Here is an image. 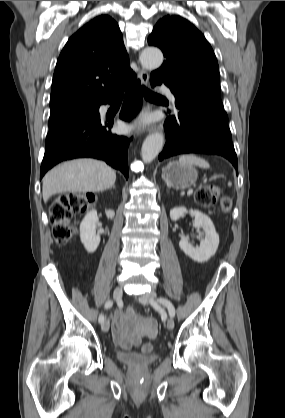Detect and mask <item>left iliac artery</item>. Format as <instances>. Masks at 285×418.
<instances>
[{
    "label": "left iliac artery",
    "instance_id": "obj_1",
    "mask_svg": "<svg viewBox=\"0 0 285 418\" xmlns=\"http://www.w3.org/2000/svg\"><path fill=\"white\" fill-rule=\"evenodd\" d=\"M157 301L167 308L170 317L173 318L175 316V308L168 299L161 297Z\"/></svg>",
    "mask_w": 285,
    "mask_h": 418
}]
</instances>
